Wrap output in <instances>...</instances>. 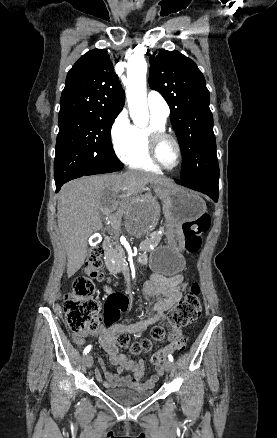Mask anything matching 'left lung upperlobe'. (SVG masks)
I'll return each mask as SVG.
<instances>
[{"label":"left lung upper lobe","instance_id":"obj_1","mask_svg":"<svg viewBox=\"0 0 277 438\" xmlns=\"http://www.w3.org/2000/svg\"><path fill=\"white\" fill-rule=\"evenodd\" d=\"M149 85L170 107V119L183 156L181 181H219L209 91L196 64L178 51L161 50L150 58Z\"/></svg>","mask_w":277,"mask_h":438}]
</instances>
